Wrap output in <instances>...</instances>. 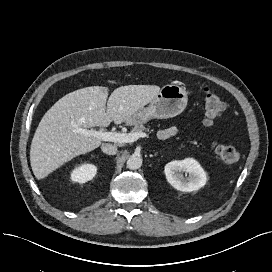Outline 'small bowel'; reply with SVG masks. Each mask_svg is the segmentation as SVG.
<instances>
[{
	"instance_id": "1",
	"label": "small bowel",
	"mask_w": 272,
	"mask_h": 272,
	"mask_svg": "<svg viewBox=\"0 0 272 272\" xmlns=\"http://www.w3.org/2000/svg\"><path fill=\"white\" fill-rule=\"evenodd\" d=\"M176 133H177V130L175 127H168V128L159 130L158 137L160 139L165 140V139L173 137Z\"/></svg>"
}]
</instances>
